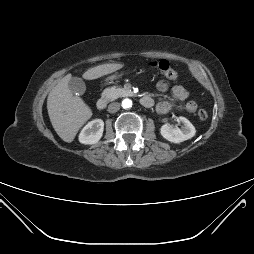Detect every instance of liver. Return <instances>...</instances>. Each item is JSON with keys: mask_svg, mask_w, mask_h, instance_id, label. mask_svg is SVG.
I'll list each match as a JSON object with an SVG mask.
<instances>
[{"mask_svg": "<svg viewBox=\"0 0 254 254\" xmlns=\"http://www.w3.org/2000/svg\"><path fill=\"white\" fill-rule=\"evenodd\" d=\"M121 63L102 64L88 69L83 78L93 80L121 69ZM71 75L61 79L50 91L47 99V110L52 126L58 136L65 142H72L84 123L91 118L92 111L84 101L68 87Z\"/></svg>", "mask_w": 254, "mask_h": 254, "instance_id": "6515ba94", "label": "liver"}]
</instances>
